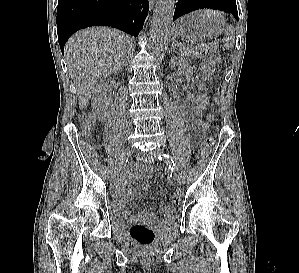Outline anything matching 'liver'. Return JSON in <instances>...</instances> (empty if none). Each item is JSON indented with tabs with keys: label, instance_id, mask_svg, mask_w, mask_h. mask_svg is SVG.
Instances as JSON below:
<instances>
[{
	"label": "liver",
	"instance_id": "1",
	"mask_svg": "<svg viewBox=\"0 0 299 273\" xmlns=\"http://www.w3.org/2000/svg\"><path fill=\"white\" fill-rule=\"evenodd\" d=\"M128 43L127 35L107 27L84 29L67 41L64 54L80 108L87 106L102 78L121 68Z\"/></svg>",
	"mask_w": 299,
	"mask_h": 273
}]
</instances>
